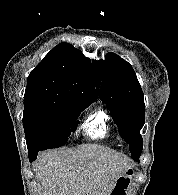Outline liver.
<instances>
[{
    "label": "liver",
    "instance_id": "1",
    "mask_svg": "<svg viewBox=\"0 0 178 195\" xmlns=\"http://www.w3.org/2000/svg\"><path fill=\"white\" fill-rule=\"evenodd\" d=\"M125 156L95 145L42 152L33 165L39 195H110L129 168Z\"/></svg>",
    "mask_w": 178,
    "mask_h": 195
}]
</instances>
